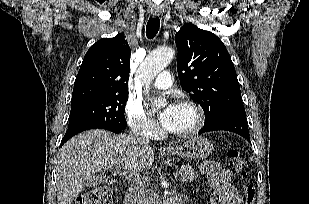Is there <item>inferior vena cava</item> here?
Returning a JSON list of instances; mask_svg holds the SVG:
<instances>
[{
  "label": "inferior vena cava",
  "mask_w": 309,
  "mask_h": 204,
  "mask_svg": "<svg viewBox=\"0 0 309 204\" xmlns=\"http://www.w3.org/2000/svg\"><path fill=\"white\" fill-rule=\"evenodd\" d=\"M128 138L136 145L148 146L149 139L142 129L134 128ZM146 185L141 180H134L126 192L125 204H151L146 198Z\"/></svg>",
  "instance_id": "1"
}]
</instances>
